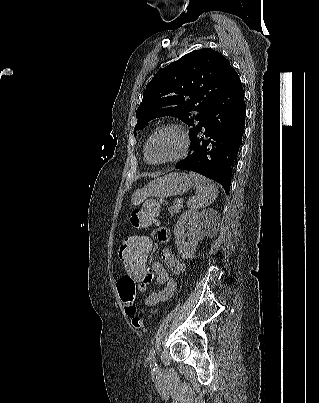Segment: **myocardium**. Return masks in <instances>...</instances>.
I'll return each instance as SVG.
<instances>
[{
	"label": "myocardium",
	"mask_w": 319,
	"mask_h": 403,
	"mask_svg": "<svg viewBox=\"0 0 319 403\" xmlns=\"http://www.w3.org/2000/svg\"><path fill=\"white\" fill-rule=\"evenodd\" d=\"M167 130H173L175 132H177V134L180 137V148L179 150L171 157L160 160V161H150L148 159V148L150 143L152 142V140L161 132L167 131ZM190 147V139H189V135L186 131V129L177 123H165L159 127H157L152 133L151 135L148 137L145 146H144V158L145 160L150 163V164H154V165H160V164H168V163H172V162H176L181 160L182 158H184L189 150Z\"/></svg>",
	"instance_id": "1"
}]
</instances>
